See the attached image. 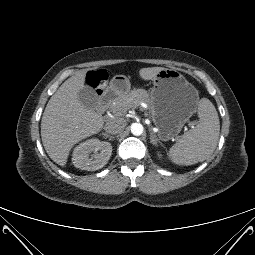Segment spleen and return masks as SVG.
<instances>
[{"instance_id": "3e777b00", "label": "spleen", "mask_w": 255, "mask_h": 255, "mask_svg": "<svg viewBox=\"0 0 255 255\" xmlns=\"http://www.w3.org/2000/svg\"><path fill=\"white\" fill-rule=\"evenodd\" d=\"M198 117L196 127L185 133L169 150V159L177 165L189 166L209 161L217 146L220 122L209 99L202 98L199 101Z\"/></svg>"}]
</instances>
